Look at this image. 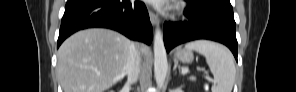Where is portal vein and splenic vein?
<instances>
[{
  "mask_svg": "<svg viewBox=\"0 0 296 92\" xmlns=\"http://www.w3.org/2000/svg\"><path fill=\"white\" fill-rule=\"evenodd\" d=\"M182 73H183V74H186V73H188V70H183Z\"/></svg>",
  "mask_w": 296,
  "mask_h": 92,
  "instance_id": "obj_1",
  "label": "portal vein and splenic vein"
}]
</instances>
